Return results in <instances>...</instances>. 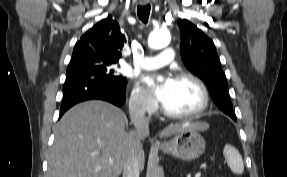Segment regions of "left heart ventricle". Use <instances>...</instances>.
Returning a JSON list of instances; mask_svg holds the SVG:
<instances>
[{
    "mask_svg": "<svg viewBox=\"0 0 287 177\" xmlns=\"http://www.w3.org/2000/svg\"><path fill=\"white\" fill-rule=\"evenodd\" d=\"M201 101V93L195 84L175 80L162 104L171 112L189 113L195 111Z\"/></svg>",
    "mask_w": 287,
    "mask_h": 177,
    "instance_id": "obj_1",
    "label": "left heart ventricle"
}]
</instances>
